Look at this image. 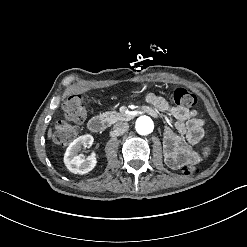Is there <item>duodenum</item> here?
Listing matches in <instances>:
<instances>
[{
	"instance_id": "410a0bca",
	"label": "duodenum",
	"mask_w": 247,
	"mask_h": 247,
	"mask_svg": "<svg viewBox=\"0 0 247 247\" xmlns=\"http://www.w3.org/2000/svg\"><path fill=\"white\" fill-rule=\"evenodd\" d=\"M142 110L147 111L148 109L144 106ZM88 128L95 133L103 132L107 128L106 120L102 117L95 116L89 120Z\"/></svg>"
}]
</instances>
